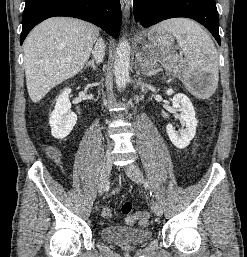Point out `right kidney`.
I'll use <instances>...</instances> for the list:
<instances>
[{
	"mask_svg": "<svg viewBox=\"0 0 247 257\" xmlns=\"http://www.w3.org/2000/svg\"><path fill=\"white\" fill-rule=\"evenodd\" d=\"M70 88H66L56 99L54 111L50 114L51 134L56 139H64L76 124L77 116L70 110Z\"/></svg>",
	"mask_w": 247,
	"mask_h": 257,
	"instance_id": "ca27d5eb",
	"label": "right kidney"
}]
</instances>
